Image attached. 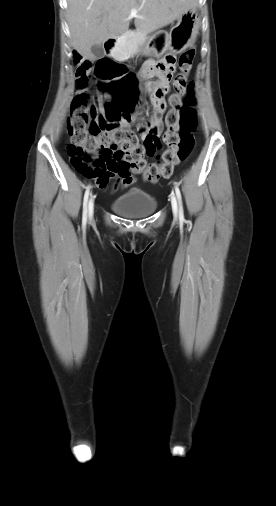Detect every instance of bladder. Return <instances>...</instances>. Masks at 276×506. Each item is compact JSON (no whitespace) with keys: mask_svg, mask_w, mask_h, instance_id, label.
Instances as JSON below:
<instances>
[{"mask_svg":"<svg viewBox=\"0 0 276 506\" xmlns=\"http://www.w3.org/2000/svg\"><path fill=\"white\" fill-rule=\"evenodd\" d=\"M157 206V200L143 191L129 192L111 202V208L116 213L130 218L148 216L156 210Z\"/></svg>","mask_w":276,"mask_h":506,"instance_id":"31cf9c89","label":"bladder"}]
</instances>
